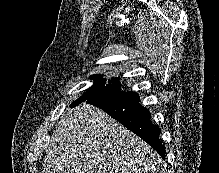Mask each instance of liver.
Wrapping results in <instances>:
<instances>
[{"mask_svg": "<svg viewBox=\"0 0 219 173\" xmlns=\"http://www.w3.org/2000/svg\"><path fill=\"white\" fill-rule=\"evenodd\" d=\"M162 159L98 107L67 111L53 132L41 173H160Z\"/></svg>", "mask_w": 219, "mask_h": 173, "instance_id": "obj_1", "label": "liver"}]
</instances>
